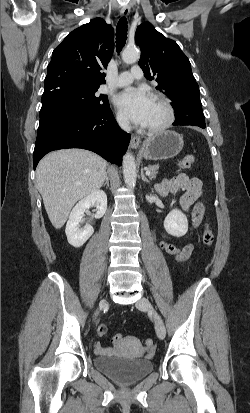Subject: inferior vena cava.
<instances>
[{"label":"inferior vena cava","mask_w":250,"mask_h":413,"mask_svg":"<svg viewBox=\"0 0 250 413\" xmlns=\"http://www.w3.org/2000/svg\"><path fill=\"white\" fill-rule=\"evenodd\" d=\"M118 124L120 125V127L125 130V131H130V124H129V120L125 117H118L117 119Z\"/></svg>","instance_id":"inferior-vena-cava-1"}]
</instances>
